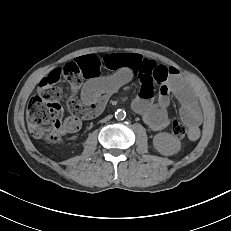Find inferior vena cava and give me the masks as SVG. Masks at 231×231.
<instances>
[{
	"label": "inferior vena cava",
	"instance_id": "inferior-vena-cava-1",
	"mask_svg": "<svg viewBox=\"0 0 231 231\" xmlns=\"http://www.w3.org/2000/svg\"><path fill=\"white\" fill-rule=\"evenodd\" d=\"M111 118H112V116L109 115V116L105 117V119H103V121H107V120H109V119H111Z\"/></svg>",
	"mask_w": 231,
	"mask_h": 231
}]
</instances>
